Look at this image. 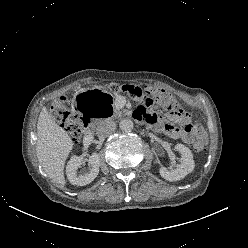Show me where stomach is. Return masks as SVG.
<instances>
[{
    "label": "stomach",
    "instance_id": "0dacf381",
    "mask_svg": "<svg viewBox=\"0 0 248 248\" xmlns=\"http://www.w3.org/2000/svg\"><path fill=\"white\" fill-rule=\"evenodd\" d=\"M72 106L80 117L92 116L97 119H106L113 113L115 103L106 92L90 87L74 96Z\"/></svg>",
    "mask_w": 248,
    "mask_h": 248
}]
</instances>
